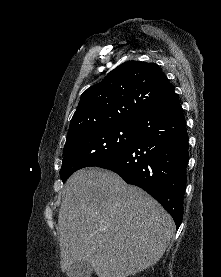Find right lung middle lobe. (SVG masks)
<instances>
[{"label": "right lung middle lobe", "mask_w": 221, "mask_h": 277, "mask_svg": "<svg viewBox=\"0 0 221 277\" xmlns=\"http://www.w3.org/2000/svg\"><path fill=\"white\" fill-rule=\"evenodd\" d=\"M134 134L135 123H124L97 126L71 136L63 150L62 181L81 168L97 166L124 153Z\"/></svg>", "instance_id": "1"}]
</instances>
